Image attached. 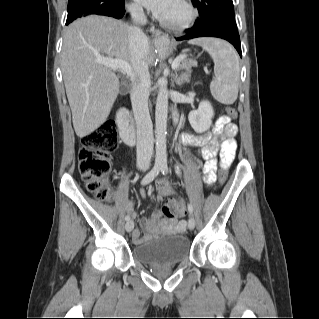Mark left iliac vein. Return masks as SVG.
<instances>
[{"label": "left iliac vein", "mask_w": 319, "mask_h": 319, "mask_svg": "<svg viewBox=\"0 0 319 319\" xmlns=\"http://www.w3.org/2000/svg\"><path fill=\"white\" fill-rule=\"evenodd\" d=\"M194 227H195V219H194V217L191 216V217L188 219V228H189L190 230H193Z\"/></svg>", "instance_id": "left-iliac-vein-1"}]
</instances>
